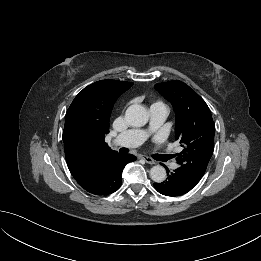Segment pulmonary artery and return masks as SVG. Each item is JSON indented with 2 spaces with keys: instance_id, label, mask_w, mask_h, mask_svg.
<instances>
[{
  "instance_id": "obj_1",
  "label": "pulmonary artery",
  "mask_w": 261,
  "mask_h": 261,
  "mask_svg": "<svg viewBox=\"0 0 261 261\" xmlns=\"http://www.w3.org/2000/svg\"><path fill=\"white\" fill-rule=\"evenodd\" d=\"M168 111L164 107H154L150 109V130L158 128L166 119ZM147 137V132L141 130H129L118 135L113 144L122 147H137L141 145ZM176 165H173L175 168Z\"/></svg>"
}]
</instances>
